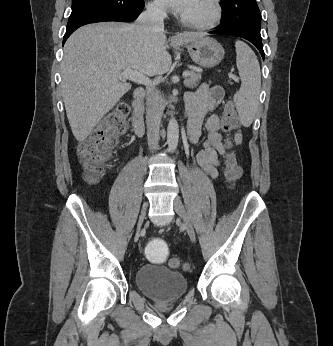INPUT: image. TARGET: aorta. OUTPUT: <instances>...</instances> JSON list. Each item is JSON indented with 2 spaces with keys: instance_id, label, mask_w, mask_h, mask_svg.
<instances>
[{
  "instance_id": "aorta-1",
  "label": "aorta",
  "mask_w": 333,
  "mask_h": 346,
  "mask_svg": "<svg viewBox=\"0 0 333 346\" xmlns=\"http://www.w3.org/2000/svg\"><path fill=\"white\" fill-rule=\"evenodd\" d=\"M179 141V126L177 123V120L172 117L169 120L168 127H167V144H168V151L174 152L177 148Z\"/></svg>"
}]
</instances>
